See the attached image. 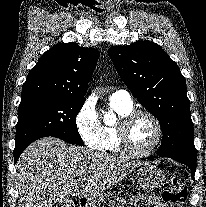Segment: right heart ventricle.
Returning a JSON list of instances; mask_svg holds the SVG:
<instances>
[{"label": "right heart ventricle", "mask_w": 206, "mask_h": 207, "mask_svg": "<svg viewBox=\"0 0 206 207\" xmlns=\"http://www.w3.org/2000/svg\"><path fill=\"white\" fill-rule=\"evenodd\" d=\"M110 109L115 112L120 118L126 116L133 110V105H125L118 101L110 99ZM117 124L109 125L102 124V134H103V145L102 150L111 152V153H119L121 149L119 147L118 138H117Z\"/></svg>", "instance_id": "e07e8e85"}]
</instances>
